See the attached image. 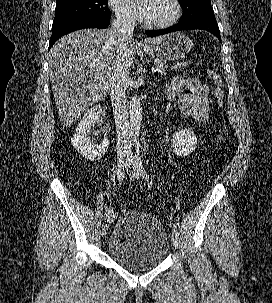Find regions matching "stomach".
<instances>
[{
	"instance_id": "obj_1",
	"label": "stomach",
	"mask_w": 272,
	"mask_h": 303,
	"mask_svg": "<svg viewBox=\"0 0 272 303\" xmlns=\"http://www.w3.org/2000/svg\"><path fill=\"white\" fill-rule=\"evenodd\" d=\"M193 42L181 32L165 35L158 42H151L142 48L146 54L160 60H180L184 58L191 48Z\"/></svg>"
}]
</instances>
